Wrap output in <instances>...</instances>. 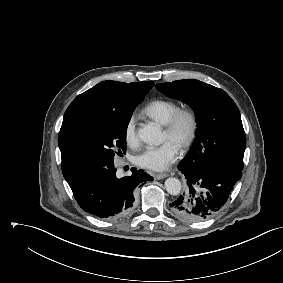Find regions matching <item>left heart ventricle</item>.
<instances>
[{
  "label": "left heart ventricle",
  "instance_id": "obj_1",
  "mask_svg": "<svg viewBox=\"0 0 283 283\" xmlns=\"http://www.w3.org/2000/svg\"><path fill=\"white\" fill-rule=\"evenodd\" d=\"M186 132V127H183L181 132L179 133V135L175 138H171L168 136V134L164 131L163 133V140L164 141H172L173 143H175L178 147H179V142H180V139L183 137V135L185 134Z\"/></svg>",
  "mask_w": 283,
  "mask_h": 283
}]
</instances>
